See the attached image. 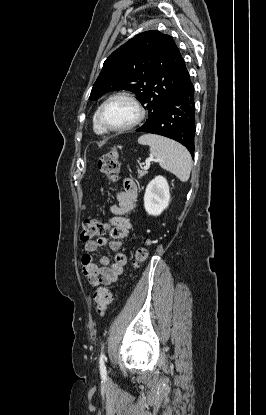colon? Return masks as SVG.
Masks as SVG:
<instances>
[{
    "mask_svg": "<svg viewBox=\"0 0 266 415\" xmlns=\"http://www.w3.org/2000/svg\"><path fill=\"white\" fill-rule=\"evenodd\" d=\"M99 170L109 180L115 181L119 170L118 152L116 149H111L105 153L99 160ZM107 230V225L103 222L88 218L83 222V229L81 232V239L83 241L92 240L103 235ZM150 240L146 239L144 245L139 247L135 253V265L144 262L148 257V246ZM112 301V292L107 288H99L94 293V304L98 314L103 315Z\"/></svg>",
    "mask_w": 266,
    "mask_h": 415,
    "instance_id": "obj_1",
    "label": "colon"
}]
</instances>
